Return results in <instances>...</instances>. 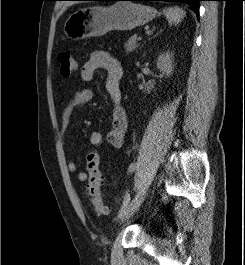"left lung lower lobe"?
Returning <instances> with one entry per match:
<instances>
[{
    "label": "left lung lower lobe",
    "instance_id": "1",
    "mask_svg": "<svg viewBox=\"0 0 245 265\" xmlns=\"http://www.w3.org/2000/svg\"><path fill=\"white\" fill-rule=\"evenodd\" d=\"M93 1H119V0H93ZM124 1H176V2H184L188 4L199 16V1L202 0H124Z\"/></svg>",
    "mask_w": 245,
    "mask_h": 265
}]
</instances>
